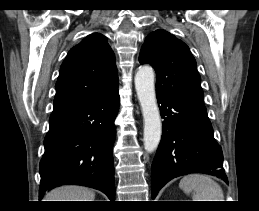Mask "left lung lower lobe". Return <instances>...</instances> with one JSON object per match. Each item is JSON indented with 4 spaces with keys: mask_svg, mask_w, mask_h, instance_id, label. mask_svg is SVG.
Returning <instances> with one entry per match:
<instances>
[{
    "mask_svg": "<svg viewBox=\"0 0 259 211\" xmlns=\"http://www.w3.org/2000/svg\"><path fill=\"white\" fill-rule=\"evenodd\" d=\"M156 95L164 121L151 168L152 198L168 181L189 173L215 175L228 182L204 103L160 91Z\"/></svg>",
    "mask_w": 259,
    "mask_h": 211,
    "instance_id": "obj_1",
    "label": "left lung lower lobe"
}]
</instances>
